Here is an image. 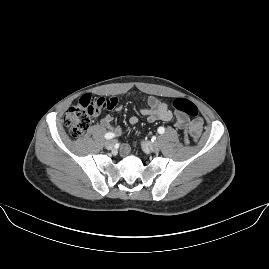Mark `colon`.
<instances>
[{
	"mask_svg": "<svg viewBox=\"0 0 269 269\" xmlns=\"http://www.w3.org/2000/svg\"><path fill=\"white\" fill-rule=\"evenodd\" d=\"M119 103L116 95H111L108 99L97 98L90 93L83 94L76 105L69 108L64 116V124L74 137H80L86 133L92 123V118L100 114L103 110H109ZM172 109L186 114L190 118L198 116L196 105L189 99L178 97L171 103ZM184 145L190 144L189 136L182 134Z\"/></svg>",
	"mask_w": 269,
	"mask_h": 269,
	"instance_id": "1",
	"label": "colon"
}]
</instances>
